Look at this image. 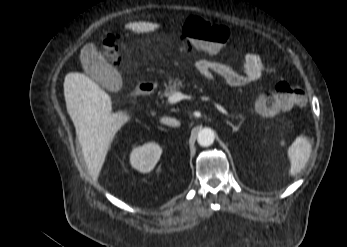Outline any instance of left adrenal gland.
<instances>
[{
    "mask_svg": "<svg viewBox=\"0 0 347 247\" xmlns=\"http://www.w3.org/2000/svg\"><path fill=\"white\" fill-rule=\"evenodd\" d=\"M226 122H227V124H228L229 126L232 127L233 132L235 133V132H237V131L239 130V128L241 127L243 121L240 120L238 126H234L230 121H226Z\"/></svg>",
    "mask_w": 347,
    "mask_h": 247,
    "instance_id": "left-adrenal-gland-1",
    "label": "left adrenal gland"
}]
</instances>
